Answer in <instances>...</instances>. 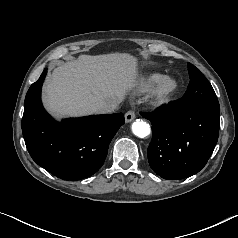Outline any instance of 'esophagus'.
<instances>
[{"instance_id":"esophagus-1","label":"esophagus","mask_w":238,"mask_h":238,"mask_svg":"<svg viewBox=\"0 0 238 238\" xmlns=\"http://www.w3.org/2000/svg\"><path fill=\"white\" fill-rule=\"evenodd\" d=\"M136 117L135 111L134 110H129L126 114H125V122L129 123L131 121H133Z\"/></svg>"}]
</instances>
